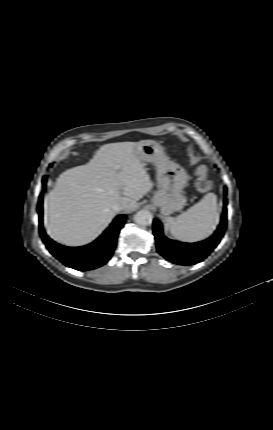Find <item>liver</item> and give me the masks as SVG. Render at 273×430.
Here are the masks:
<instances>
[{
	"label": "liver",
	"instance_id": "liver-1",
	"mask_svg": "<svg viewBox=\"0 0 273 430\" xmlns=\"http://www.w3.org/2000/svg\"><path fill=\"white\" fill-rule=\"evenodd\" d=\"M139 142L103 145L89 163L63 172L45 200L44 224L55 241L80 246L98 237L114 218L113 205L125 212L149 192L153 183L136 156Z\"/></svg>",
	"mask_w": 273,
	"mask_h": 430
}]
</instances>
